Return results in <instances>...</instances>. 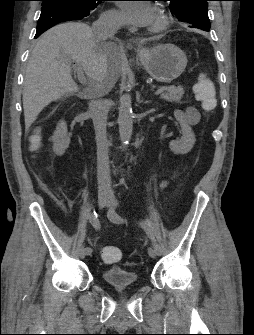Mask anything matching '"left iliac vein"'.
<instances>
[{"label": "left iliac vein", "instance_id": "4c4485c4", "mask_svg": "<svg viewBox=\"0 0 254 335\" xmlns=\"http://www.w3.org/2000/svg\"><path fill=\"white\" fill-rule=\"evenodd\" d=\"M117 202L115 201V200H111L110 202H109V204H108V206H109V212H108V217H109V219L110 220H112V218H111V213L113 212V211H115V208L117 207ZM113 221V220H112ZM148 254H149V256L151 257V258H155L156 256H157V253H156V251L154 250V248H152V247H149L148 248Z\"/></svg>", "mask_w": 254, "mask_h": 335}]
</instances>
